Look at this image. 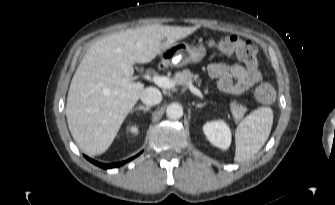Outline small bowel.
Here are the masks:
<instances>
[{
  "label": "small bowel",
  "mask_w": 335,
  "mask_h": 205,
  "mask_svg": "<svg viewBox=\"0 0 335 205\" xmlns=\"http://www.w3.org/2000/svg\"><path fill=\"white\" fill-rule=\"evenodd\" d=\"M210 77L217 79L220 91L239 95L261 81L262 75L257 68H245L240 64L228 65L215 62L208 66Z\"/></svg>",
  "instance_id": "1"
}]
</instances>
